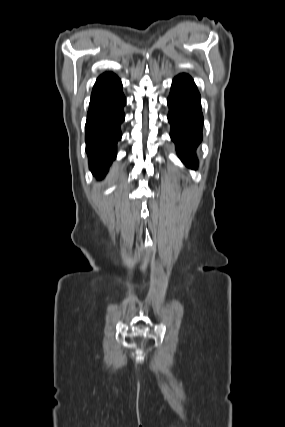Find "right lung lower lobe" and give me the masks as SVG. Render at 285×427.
<instances>
[{"mask_svg": "<svg viewBox=\"0 0 285 427\" xmlns=\"http://www.w3.org/2000/svg\"><path fill=\"white\" fill-rule=\"evenodd\" d=\"M125 104L120 79L111 72L100 75L91 94L85 135L90 169L99 179L105 176L116 157Z\"/></svg>", "mask_w": 285, "mask_h": 427, "instance_id": "obj_1", "label": "right lung lower lobe"}]
</instances>
